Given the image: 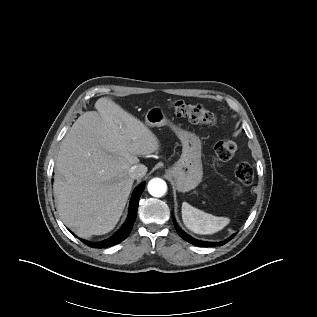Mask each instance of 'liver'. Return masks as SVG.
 Masks as SVG:
<instances>
[{
	"instance_id": "liver-1",
	"label": "liver",
	"mask_w": 317,
	"mask_h": 317,
	"mask_svg": "<svg viewBox=\"0 0 317 317\" xmlns=\"http://www.w3.org/2000/svg\"><path fill=\"white\" fill-rule=\"evenodd\" d=\"M95 108L76 120L55 161L60 218L82 238L113 230L134 182L131 166L160 149L156 135L112 98L98 99Z\"/></svg>"
}]
</instances>
